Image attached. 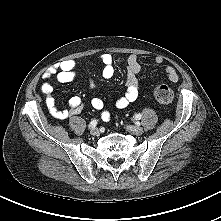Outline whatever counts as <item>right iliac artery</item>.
I'll return each mask as SVG.
<instances>
[{
  "label": "right iliac artery",
  "instance_id": "1",
  "mask_svg": "<svg viewBox=\"0 0 221 221\" xmlns=\"http://www.w3.org/2000/svg\"><path fill=\"white\" fill-rule=\"evenodd\" d=\"M96 125H97V120H92V121L90 122V124H89V128H90V129H91V128H95Z\"/></svg>",
  "mask_w": 221,
  "mask_h": 221
}]
</instances>
